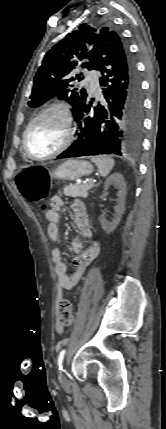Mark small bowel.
<instances>
[{
    "label": "small bowel",
    "mask_w": 166,
    "mask_h": 429,
    "mask_svg": "<svg viewBox=\"0 0 166 429\" xmlns=\"http://www.w3.org/2000/svg\"><path fill=\"white\" fill-rule=\"evenodd\" d=\"M51 205L52 208L46 213V219L48 221L47 233L54 243H58L60 240L59 220L62 199L60 197L53 198ZM72 211L74 213V221L78 231L84 237L90 238L93 233L85 207L80 202H75L72 205ZM72 249L76 255L72 260L74 271L71 275L67 274V266L62 261L60 248L55 246L51 252L52 262L55 265V273L57 275L58 297L61 296L63 290L72 289L81 280L87 267L99 254V245L97 243L85 249L84 243L79 238L73 239ZM56 330L58 334H61L63 332V327L57 325Z\"/></svg>",
    "instance_id": "small-bowel-1"
}]
</instances>
